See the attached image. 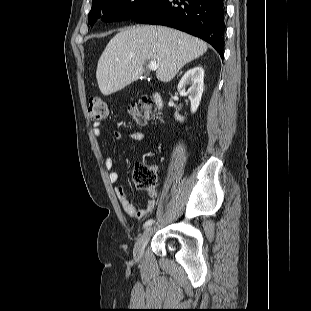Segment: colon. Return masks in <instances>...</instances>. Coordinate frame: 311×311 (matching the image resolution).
<instances>
[{"label": "colon", "instance_id": "colon-1", "mask_svg": "<svg viewBox=\"0 0 311 311\" xmlns=\"http://www.w3.org/2000/svg\"><path fill=\"white\" fill-rule=\"evenodd\" d=\"M151 101L148 97L128 107L129 113L134 121L142 125L151 117ZM88 115L94 122L104 121L108 117V107L101 97H93L89 101ZM133 179L137 187L146 191L150 195L156 192V175L146 166H136L133 171Z\"/></svg>", "mask_w": 311, "mask_h": 311}]
</instances>
